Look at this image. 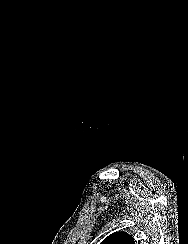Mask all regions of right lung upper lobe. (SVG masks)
Segmentation results:
<instances>
[{"instance_id":"1","label":"right lung upper lobe","mask_w":188,"mask_h":244,"mask_svg":"<svg viewBox=\"0 0 188 244\" xmlns=\"http://www.w3.org/2000/svg\"><path fill=\"white\" fill-rule=\"evenodd\" d=\"M101 244H135L134 239L126 232H115L106 237Z\"/></svg>"}]
</instances>
